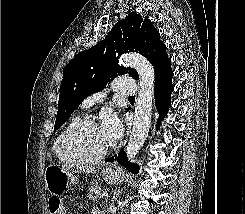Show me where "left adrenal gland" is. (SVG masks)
I'll return each mask as SVG.
<instances>
[{"mask_svg": "<svg viewBox=\"0 0 245 214\" xmlns=\"http://www.w3.org/2000/svg\"><path fill=\"white\" fill-rule=\"evenodd\" d=\"M119 193H121V191L116 189L114 194L116 195V197H119Z\"/></svg>", "mask_w": 245, "mask_h": 214, "instance_id": "1", "label": "left adrenal gland"}]
</instances>
